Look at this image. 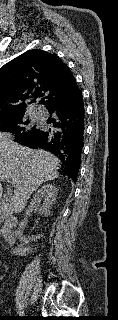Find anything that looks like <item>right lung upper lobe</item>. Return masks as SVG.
I'll return each instance as SVG.
<instances>
[{"label": "right lung upper lobe", "mask_w": 118, "mask_h": 320, "mask_svg": "<svg viewBox=\"0 0 118 320\" xmlns=\"http://www.w3.org/2000/svg\"><path fill=\"white\" fill-rule=\"evenodd\" d=\"M80 89L62 60L40 49L27 51L0 68V119L24 117L27 100L49 107Z\"/></svg>", "instance_id": "obj_1"}]
</instances>
